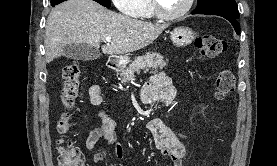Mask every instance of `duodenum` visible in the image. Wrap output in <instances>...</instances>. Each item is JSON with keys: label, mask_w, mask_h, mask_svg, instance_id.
Returning <instances> with one entry per match:
<instances>
[{"label": "duodenum", "mask_w": 277, "mask_h": 166, "mask_svg": "<svg viewBox=\"0 0 277 166\" xmlns=\"http://www.w3.org/2000/svg\"><path fill=\"white\" fill-rule=\"evenodd\" d=\"M121 67L120 62L115 58H109L107 61V68L111 71H116Z\"/></svg>", "instance_id": "410a0bca"}]
</instances>
